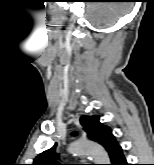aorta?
Here are the masks:
<instances>
[{
	"label": "aorta",
	"instance_id": "obj_1",
	"mask_svg": "<svg viewBox=\"0 0 154 165\" xmlns=\"http://www.w3.org/2000/svg\"><path fill=\"white\" fill-rule=\"evenodd\" d=\"M68 151L73 155H87L95 164H110V158L105 149L90 141H75L70 144Z\"/></svg>",
	"mask_w": 154,
	"mask_h": 165
}]
</instances>
